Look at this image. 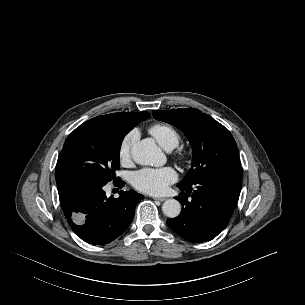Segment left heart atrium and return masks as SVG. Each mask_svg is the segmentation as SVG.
<instances>
[{"mask_svg": "<svg viewBox=\"0 0 305 305\" xmlns=\"http://www.w3.org/2000/svg\"><path fill=\"white\" fill-rule=\"evenodd\" d=\"M176 180L177 173L171 167L142 169L135 172L131 179L135 188L153 195L164 193Z\"/></svg>", "mask_w": 305, "mask_h": 305, "instance_id": "39dd6f15", "label": "left heart atrium"}]
</instances>
